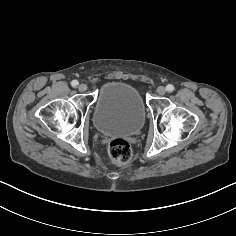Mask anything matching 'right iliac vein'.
Listing matches in <instances>:
<instances>
[{"instance_id":"right-iliac-vein-1","label":"right iliac vein","mask_w":236,"mask_h":236,"mask_svg":"<svg viewBox=\"0 0 236 236\" xmlns=\"http://www.w3.org/2000/svg\"><path fill=\"white\" fill-rule=\"evenodd\" d=\"M78 90H79L80 92H85V91L87 90V85L84 84V83L80 84V85L78 86Z\"/></svg>"}]
</instances>
